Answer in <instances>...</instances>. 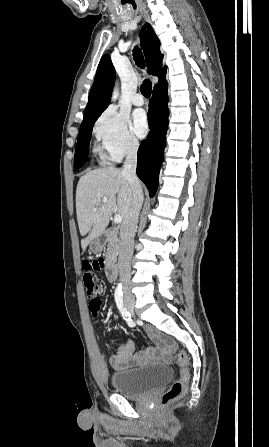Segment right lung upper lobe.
<instances>
[{
  "label": "right lung upper lobe",
  "mask_w": 269,
  "mask_h": 447,
  "mask_svg": "<svg viewBox=\"0 0 269 447\" xmlns=\"http://www.w3.org/2000/svg\"><path fill=\"white\" fill-rule=\"evenodd\" d=\"M140 42L145 54L149 74L159 77L165 75L166 66L162 67L163 55L160 52V41L148 23L145 24L140 32ZM114 80L115 69L110 56L104 55L97 68L81 127L95 122L108 107Z\"/></svg>",
  "instance_id": "right-lung-upper-lobe-1"
}]
</instances>
